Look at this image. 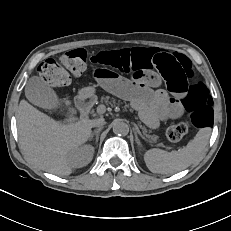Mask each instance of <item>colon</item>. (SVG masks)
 Listing matches in <instances>:
<instances>
[{
  "label": "colon",
  "mask_w": 231,
  "mask_h": 231,
  "mask_svg": "<svg viewBox=\"0 0 231 231\" xmlns=\"http://www.w3.org/2000/svg\"><path fill=\"white\" fill-rule=\"evenodd\" d=\"M89 63L112 67L130 73L134 78L161 77L169 91L178 94L189 118L167 129L169 141H180L191 127H209L213 122V103L208 88L201 82L190 83L193 70L183 54L157 48H128L89 54L84 49L64 53L59 61L47 59L39 66L42 79L53 87L67 85L81 75Z\"/></svg>",
  "instance_id": "obj_1"
}]
</instances>
